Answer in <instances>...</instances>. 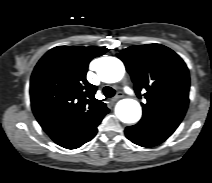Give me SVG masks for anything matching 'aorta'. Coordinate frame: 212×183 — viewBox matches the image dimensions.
Segmentation results:
<instances>
[{"instance_id": "aorta-1", "label": "aorta", "mask_w": 212, "mask_h": 183, "mask_svg": "<svg viewBox=\"0 0 212 183\" xmlns=\"http://www.w3.org/2000/svg\"><path fill=\"white\" fill-rule=\"evenodd\" d=\"M97 73L100 79L106 83L120 81L125 73L123 63L115 57H103L99 60ZM117 117L123 123H136L141 118L140 104L133 99L120 100L115 108Z\"/></svg>"}]
</instances>
